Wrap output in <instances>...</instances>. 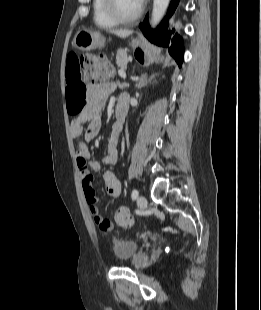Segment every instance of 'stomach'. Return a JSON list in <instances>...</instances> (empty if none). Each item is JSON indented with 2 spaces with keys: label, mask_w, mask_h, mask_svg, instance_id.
Masks as SVG:
<instances>
[{
  "label": "stomach",
  "mask_w": 261,
  "mask_h": 310,
  "mask_svg": "<svg viewBox=\"0 0 261 310\" xmlns=\"http://www.w3.org/2000/svg\"><path fill=\"white\" fill-rule=\"evenodd\" d=\"M74 45L81 51H91L101 49L105 45L104 37L97 31L93 30H80L74 37ZM132 46L135 50L136 56L142 58L143 53L148 56V64L163 61V57L156 49L147 50L143 44L134 40Z\"/></svg>",
  "instance_id": "0dacf381"
}]
</instances>
